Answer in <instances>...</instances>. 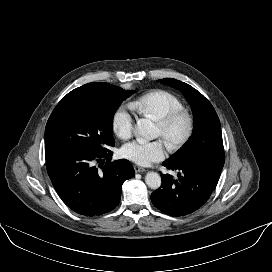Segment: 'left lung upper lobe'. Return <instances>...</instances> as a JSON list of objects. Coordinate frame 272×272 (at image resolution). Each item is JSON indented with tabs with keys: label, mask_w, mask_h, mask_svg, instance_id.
<instances>
[{
	"label": "left lung upper lobe",
	"mask_w": 272,
	"mask_h": 272,
	"mask_svg": "<svg viewBox=\"0 0 272 272\" xmlns=\"http://www.w3.org/2000/svg\"><path fill=\"white\" fill-rule=\"evenodd\" d=\"M180 90L190 103L194 129L185 146L168 161L190 158L206 165L223 168L225 156L220 121L211 103L192 86L172 78L160 80Z\"/></svg>",
	"instance_id": "5c2ea615"
}]
</instances>
